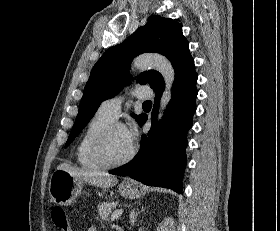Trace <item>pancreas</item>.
Returning a JSON list of instances; mask_svg holds the SVG:
<instances>
[{
	"label": "pancreas",
	"instance_id": "cf45deb5",
	"mask_svg": "<svg viewBox=\"0 0 280 231\" xmlns=\"http://www.w3.org/2000/svg\"><path fill=\"white\" fill-rule=\"evenodd\" d=\"M117 203H119V201H104V203H99L98 211L100 217H102V219H108L110 213H112L110 207H116Z\"/></svg>",
	"mask_w": 280,
	"mask_h": 231
}]
</instances>
